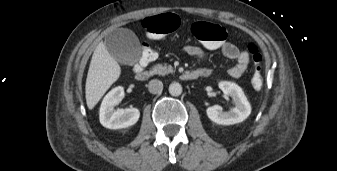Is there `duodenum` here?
Returning a JSON list of instances; mask_svg holds the SVG:
<instances>
[{"mask_svg":"<svg viewBox=\"0 0 337 171\" xmlns=\"http://www.w3.org/2000/svg\"><path fill=\"white\" fill-rule=\"evenodd\" d=\"M136 78L140 81L145 80L148 78L149 73L146 69L137 66L136 67ZM210 74V70L206 69V68H201V69H196V70H191V71H187L185 73L182 74V78L184 80H195L198 78H204L209 76Z\"/></svg>","mask_w":337,"mask_h":171,"instance_id":"1","label":"duodenum"}]
</instances>
